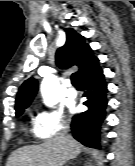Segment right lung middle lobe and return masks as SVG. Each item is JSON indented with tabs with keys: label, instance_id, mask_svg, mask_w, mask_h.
Masks as SVG:
<instances>
[{
	"label": "right lung middle lobe",
	"instance_id": "right-lung-middle-lobe-1",
	"mask_svg": "<svg viewBox=\"0 0 135 166\" xmlns=\"http://www.w3.org/2000/svg\"><path fill=\"white\" fill-rule=\"evenodd\" d=\"M27 107L28 106H23V107L16 109V116L21 115Z\"/></svg>",
	"mask_w": 135,
	"mask_h": 166
}]
</instances>
